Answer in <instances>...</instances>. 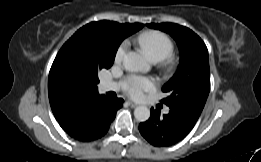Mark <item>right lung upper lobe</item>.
Listing matches in <instances>:
<instances>
[{
  "label": "right lung upper lobe",
  "mask_w": 261,
  "mask_h": 162,
  "mask_svg": "<svg viewBox=\"0 0 261 162\" xmlns=\"http://www.w3.org/2000/svg\"><path fill=\"white\" fill-rule=\"evenodd\" d=\"M105 25L120 26V27L126 29L127 31L131 32V34L140 30L143 27V24H140V23L120 24V23L113 22V21H98V22H92V23L85 25L84 27L79 29L75 34L82 32L84 29H86L89 26H105ZM48 94H49V101H50V105H51L53 114L56 117V119H60L63 116H65L70 110L81 106L82 104H84L88 100H90L91 98L97 96L98 88L83 92L78 95H73V96H57V95L53 94L49 89H48Z\"/></svg>",
  "instance_id": "1"
}]
</instances>
